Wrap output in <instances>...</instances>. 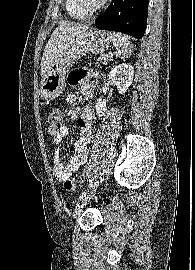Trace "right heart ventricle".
<instances>
[{"label":"right heart ventricle","mask_w":195,"mask_h":270,"mask_svg":"<svg viewBox=\"0 0 195 270\" xmlns=\"http://www.w3.org/2000/svg\"><path fill=\"white\" fill-rule=\"evenodd\" d=\"M65 8L68 15L76 20H83L91 16V13L82 10L76 0H65Z\"/></svg>","instance_id":"obj_1"}]
</instances>
